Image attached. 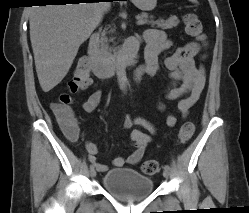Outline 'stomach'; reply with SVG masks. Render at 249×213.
Masks as SVG:
<instances>
[{
	"label": "stomach",
	"mask_w": 249,
	"mask_h": 213,
	"mask_svg": "<svg viewBox=\"0 0 249 213\" xmlns=\"http://www.w3.org/2000/svg\"><path fill=\"white\" fill-rule=\"evenodd\" d=\"M132 2L141 10L149 11L155 8L157 0H132Z\"/></svg>",
	"instance_id": "0dacf381"
}]
</instances>
